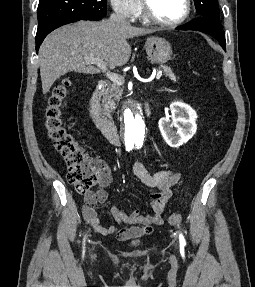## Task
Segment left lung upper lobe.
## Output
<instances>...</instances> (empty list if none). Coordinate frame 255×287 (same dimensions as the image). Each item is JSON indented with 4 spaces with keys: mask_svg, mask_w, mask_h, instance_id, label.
Masks as SVG:
<instances>
[{
    "mask_svg": "<svg viewBox=\"0 0 255 287\" xmlns=\"http://www.w3.org/2000/svg\"><path fill=\"white\" fill-rule=\"evenodd\" d=\"M195 8L200 16L212 17L219 20L218 0H194Z\"/></svg>",
    "mask_w": 255,
    "mask_h": 287,
    "instance_id": "1",
    "label": "left lung upper lobe"
}]
</instances>
